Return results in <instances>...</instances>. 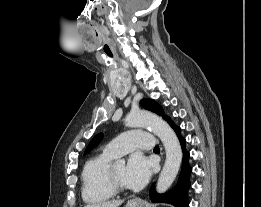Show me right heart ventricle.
Masks as SVG:
<instances>
[{
	"label": "right heart ventricle",
	"instance_id": "1",
	"mask_svg": "<svg viewBox=\"0 0 261 207\" xmlns=\"http://www.w3.org/2000/svg\"><path fill=\"white\" fill-rule=\"evenodd\" d=\"M114 158L104 150L85 163L81 173V192L86 203H101L113 197L114 192L109 187L107 172Z\"/></svg>",
	"mask_w": 261,
	"mask_h": 207
}]
</instances>
